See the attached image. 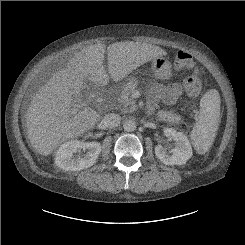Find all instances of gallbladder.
Listing matches in <instances>:
<instances>
[{"label": "gallbladder", "instance_id": "gallbladder-1", "mask_svg": "<svg viewBox=\"0 0 245 245\" xmlns=\"http://www.w3.org/2000/svg\"><path fill=\"white\" fill-rule=\"evenodd\" d=\"M91 84H88V88L90 87Z\"/></svg>", "mask_w": 245, "mask_h": 245}]
</instances>
